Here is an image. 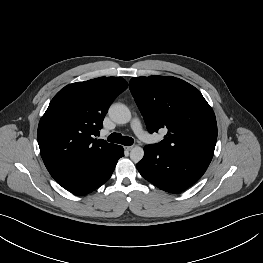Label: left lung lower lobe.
Listing matches in <instances>:
<instances>
[{"label":"left lung lower lobe","instance_id":"0a47b994","mask_svg":"<svg viewBox=\"0 0 263 263\" xmlns=\"http://www.w3.org/2000/svg\"><path fill=\"white\" fill-rule=\"evenodd\" d=\"M145 155L137 164L140 174L158 188L181 192L193 185L206 171L209 164L172 150L154 145L144 147Z\"/></svg>","mask_w":263,"mask_h":263}]
</instances>
